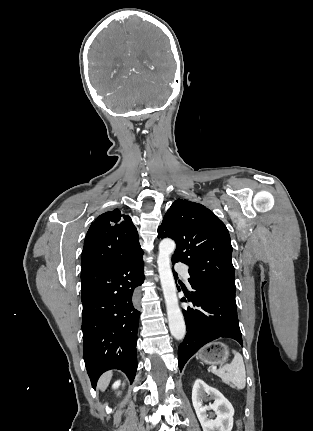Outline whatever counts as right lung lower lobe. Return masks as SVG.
Masks as SVG:
<instances>
[{"label":"right lung lower lobe","instance_id":"98d812e1","mask_svg":"<svg viewBox=\"0 0 313 431\" xmlns=\"http://www.w3.org/2000/svg\"><path fill=\"white\" fill-rule=\"evenodd\" d=\"M143 266L142 254H137L81 271L83 357L94 388L107 370H121L131 382L135 377L140 312L134 297L144 281Z\"/></svg>","mask_w":313,"mask_h":431}]
</instances>
